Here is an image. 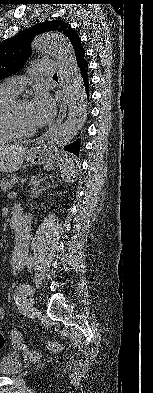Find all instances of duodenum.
Masks as SVG:
<instances>
[{
    "instance_id": "obj_1",
    "label": "duodenum",
    "mask_w": 153,
    "mask_h": 393,
    "mask_svg": "<svg viewBox=\"0 0 153 393\" xmlns=\"http://www.w3.org/2000/svg\"><path fill=\"white\" fill-rule=\"evenodd\" d=\"M20 217H21V213L20 212L14 211L12 213L11 220H10V223H9V227L11 229H16V228L19 227Z\"/></svg>"
}]
</instances>
